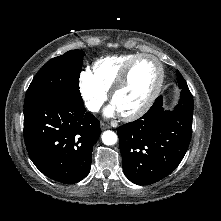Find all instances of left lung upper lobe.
I'll return each instance as SVG.
<instances>
[{
  "label": "left lung upper lobe",
  "mask_w": 221,
  "mask_h": 221,
  "mask_svg": "<svg viewBox=\"0 0 221 221\" xmlns=\"http://www.w3.org/2000/svg\"><path fill=\"white\" fill-rule=\"evenodd\" d=\"M177 81L179 85H187L179 71H177Z\"/></svg>",
  "instance_id": "left-lung-upper-lobe-1"
}]
</instances>
